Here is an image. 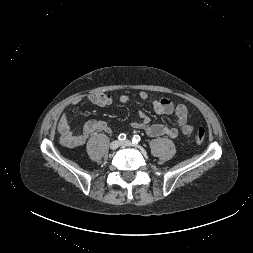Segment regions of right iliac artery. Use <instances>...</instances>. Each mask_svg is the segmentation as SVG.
Here are the masks:
<instances>
[{
    "label": "right iliac artery",
    "mask_w": 253,
    "mask_h": 253,
    "mask_svg": "<svg viewBox=\"0 0 253 253\" xmlns=\"http://www.w3.org/2000/svg\"><path fill=\"white\" fill-rule=\"evenodd\" d=\"M118 139H119L120 141H124V140L126 139V134H124V133L120 134V135L118 136Z\"/></svg>",
    "instance_id": "right-iliac-artery-1"
}]
</instances>
